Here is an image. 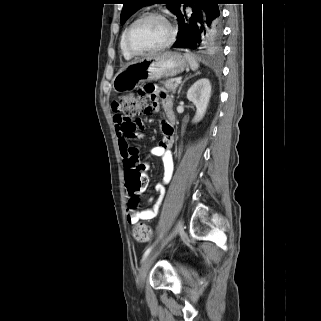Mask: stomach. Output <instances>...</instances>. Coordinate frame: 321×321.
Returning a JSON list of instances; mask_svg holds the SVG:
<instances>
[{"mask_svg": "<svg viewBox=\"0 0 321 321\" xmlns=\"http://www.w3.org/2000/svg\"><path fill=\"white\" fill-rule=\"evenodd\" d=\"M188 68V62L178 52L166 51L128 64L118 71L112 85L117 93L129 92L141 82L174 77Z\"/></svg>", "mask_w": 321, "mask_h": 321, "instance_id": "0dacf381", "label": "stomach"}]
</instances>
